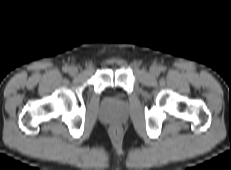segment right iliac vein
<instances>
[{
    "label": "right iliac vein",
    "instance_id": "1",
    "mask_svg": "<svg viewBox=\"0 0 231 170\" xmlns=\"http://www.w3.org/2000/svg\"><path fill=\"white\" fill-rule=\"evenodd\" d=\"M78 73V68L76 66H71L69 68V74L70 75H76Z\"/></svg>",
    "mask_w": 231,
    "mask_h": 170
}]
</instances>
